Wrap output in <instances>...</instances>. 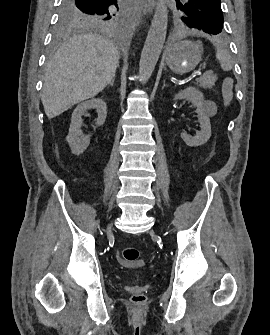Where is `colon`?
Here are the masks:
<instances>
[{
    "label": "colon",
    "mask_w": 270,
    "mask_h": 335,
    "mask_svg": "<svg viewBox=\"0 0 270 335\" xmlns=\"http://www.w3.org/2000/svg\"><path fill=\"white\" fill-rule=\"evenodd\" d=\"M221 79L224 80V91L222 92V99L223 102L221 103L222 109H233L234 103L228 102V99H233V92L231 91L233 87V80H232V74L231 72H221L220 74ZM139 252L136 248H123L118 253V261L122 263L123 265H130L134 264L136 265V260L138 258ZM133 300L135 303L140 304L143 303L145 300V297L143 295H135L133 297Z\"/></svg>",
    "instance_id": "obj_1"
}]
</instances>
